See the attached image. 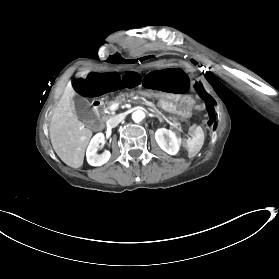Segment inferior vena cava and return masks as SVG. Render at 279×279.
<instances>
[{
  "label": "inferior vena cava",
  "instance_id": "inferior-vena-cava-1",
  "mask_svg": "<svg viewBox=\"0 0 279 279\" xmlns=\"http://www.w3.org/2000/svg\"><path fill=\"white\" fill-rule=\"evenodd\" d=\"M126 115L124 113L114 116L107 121V127L113 128L116 127L119 123V120H123Z\"/></svg>",
  "mask_w": 279,
  "mask_h": 279
}]
</instances>
